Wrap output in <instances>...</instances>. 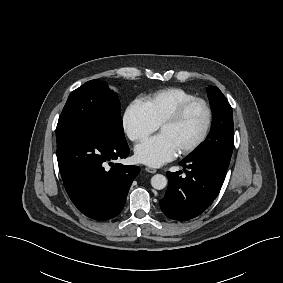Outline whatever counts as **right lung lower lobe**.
Segmentation results:
<instances>
[{
  "label": "right lung lower lobe",
  "instance_id": "98d812e1",
  "mask_svg": "<svg viewBox=\"0 0 283 283\" xmlns=\"http://www.w3.org/2000/svg\"><path fill=\"white\" fill-rule=\"evenodd\" d=\"M128 154L126 139L93 127L75 131L57 143L65 189L84 215L107 220L121 212L131 183L140 172L137 166L113 163Z\"/></svg>",
  "mask_w": 283,
  "mask_h": 283
}]
</instances>
